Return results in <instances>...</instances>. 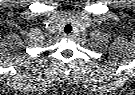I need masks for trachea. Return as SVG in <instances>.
I'll use <instances>...</instances> for the list:
<instances>
[{
  "label": "trachea",
  "mask_w": 135,
  "mask_h": 95,
  "mask_svg": "<svg viewBox=\"0 0 135 95\" xmlns=\"http://www.w3.org/2000/svg\"><path fill=\"white\" fill-rule=\"evenodd\" d=\"M72 31V26L70 24H67L65 27H64V32L65 33H70Z\"/></svg>",
  "instance_id": "trachea-1"
}]
</instances>
